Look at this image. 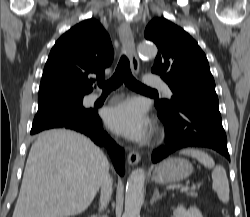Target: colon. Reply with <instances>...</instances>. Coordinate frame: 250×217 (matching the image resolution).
Instances as JSON below:
<instances>
[{"label":"colon","mask_w":250,"mask_h":217,"mask_svg":"<svg viewBox=\"0 0 250 217\" xmlns=\"http://www.w3.org/2000/svg\"><path fill=\"white\" fill-rule=\"evenodd\" d=\"M223 217H230V215L228 214L226 210L223 211Z\"/></svg>","instance_id":"5ec220e1"}]
</instances>
